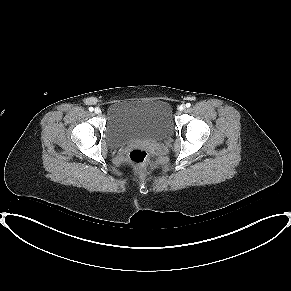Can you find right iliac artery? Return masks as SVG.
I'll return each instance as SVG.
<instances>
[{
    "mask_svg": "<svg viewBox=\"0 0 291 291\" xmlns=\"http://www.w3.org/2000/svg\"><path fill=\"white\" fill-rule=\"evenodd\" d=\"M94 110L93 107H89V111L92 112Z\"/></svg>",
    "mask_w": 291,
    "mask_h": 291,
    "instance_id": "obj_1",
    "label": "right iliac artery"
}]
</instances>
